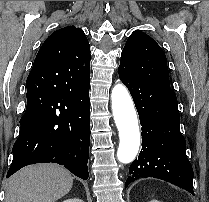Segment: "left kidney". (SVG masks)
Returning <instances> with one entry per match:
<instances>
[{
    "instance_id": "obj_1",
    "label": "left kidney",
    "mask_w": 209,
    "mask_h": 202,
    "mask_svg": "<svg viewBox=\"0 0 209 202\" xmlns=\"http://www.w3.org/2000/svg\"><path fill=\"white\" fill-rule=\"evenodd\" d=\"M150 202H162V201H158V200L153 199Z\"/></svg>"
}]
</instances>
